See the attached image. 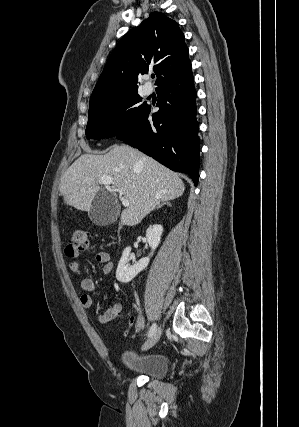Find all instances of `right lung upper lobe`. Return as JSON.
<instances>
[{
	"label": "right lung upper lobe",
	"instance_id": "1",
	"mask_svg": "<svg viewBox=\"0 0 299 427\" xmlns=\"http://www.w3.org/2000/svg\"><path fill=\"white\" fill-rule=\"evenodd\" d=\"M189 50L177 23L153 12L127 32L110 55L92 93L90 104L138 90V77L152 69L159 86L191 71Z\"/></svg>",
	"mask_w": 299,
	"mask_h": 427
}]
</instances>
